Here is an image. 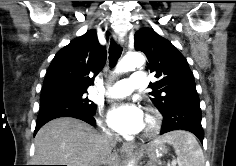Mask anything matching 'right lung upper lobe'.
<instances>
[{
    "label": "right lung upper lobe",
    "mask_w": 236,
    "mask_h": 166,
    "mask_svg": "<svg viewBox=\"0 0 236 166\" xmlns=\"http://www.w3.org/2000/svg\"><path fill=\"white\" fill-rule=\"evenodd\" d=\"M109 35L106 32V36ZM105 62L106 48L99 43L96 30H89L57 52L47 71L42 90L56 86L87 90L94 83L88 75H97Z\"/></svg>",
    "instance_id": "cb5924a9"
}]
</instances>
